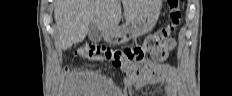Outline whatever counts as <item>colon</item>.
Returning a JSON list of instances; mask_svg holds the SVG:
<instances>
[{"instance_id": "1", "label": "colon", "mask_w": 232, "mask_h": 96, "mask_svg": "<svg viewBox=\"0 0 232 96\" xmlns=\"http://www.w3.org/2000/svg\"><path fill=\"white\" fill-rule=\"evenodd\" d=\"M169 23L158 31L150 34L146 43L131 49H119L106 46H97L91 43L80 46L76 54L79 57L93 61L107 62L112 65H124L132 75H139L149 71H158L159 65L145 59V54L151 50L156 61L167 57L168 50L165 43L180 22L181 11L178 0H169Z\"/></svg>"}]
</instances>
